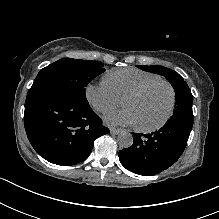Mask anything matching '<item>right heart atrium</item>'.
<instances>
[{
	"label": "right heart atrium",
	"mask_w": 219,
	"mask_h": 219,
	"mask_svg": "<svg viewBox=\"0 0 219 219\" xmlns=\"http://www.w3.org/2000/svg\"><path fill=\"white\" fill-rule=\"evenodd\" d=\"M85 98L94 110L103 114L115 110L120 104L105 80L88 84L85 87Z\"/></svg>",
	"instance_id": "obj_1"
}]
</instances>
